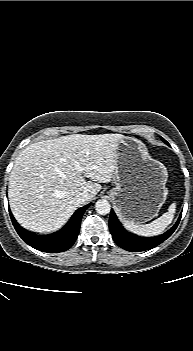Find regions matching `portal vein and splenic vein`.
Instances as JSON below:
<instances>
[{
  "label": "portal vein and splenic vein",
  "instance_id": "portal-vein-and-splenic-vein-1",
  "mask_svg": "<svg viewBox=\"0 0 193 351\" xmlns=\"http://www.w3.org/2000/svg\"><path fill=\"white\" fill-rule=\"evenodd\" d=\"M75 168H76V170H78L79 172H81V171L83 170L78 164H75Z\"/></svg>",
  "mask_w": 193,
  "mask_h": 351
}]
</instances>
